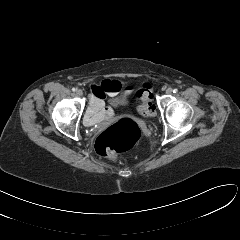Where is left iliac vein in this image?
Returning <instances> with one entry per match:
<instances>
[{
  "label": "left iliac vein",
  "instance_id": "4c4485c4",
  "mask_svg": "<svg viewBox=\"0 0 240 240\" xmlns=\"http://www.w3.org/2000/svg\"><path fill=\"white\" fill-rule=\"evenodd\" d=\"M165 92L166 94H172L173 90L172 88H167Z\"/></svg>",
  "mask_w": 240,
  "mask_h": 240
}]
</instances>
